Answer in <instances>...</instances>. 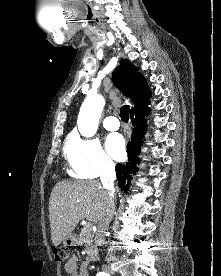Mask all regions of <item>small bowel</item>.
I'll use <instances>...</instances> for the list:
<instances>
[{
	"mask_svg": "<svg viewBox=\"0 0 221 276\" xmlns=\"http://www.w3.org/2000/svg\"><path fill=\"white\" fill-rule=\"evenodd\" d=\"M64 270L69 276H88L87 263L81 265L78 263V258L75 256L70 257L64 264Z\"/></svg>",
	"mask_w": 221,
	"mask_h": 276,
	"instance_id": "c3829d8e",
	"label": "small bowel"
}]
</instances>
